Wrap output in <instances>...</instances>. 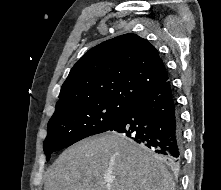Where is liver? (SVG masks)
<instances>
[{
	"mask_svg": "<svg viewBox=\"0 0 221 190\" xmlns=\"http://www.w3.org/2000/svg\"><path fill=\"white\" fill-rule=\"evenodd\" d=\"M44 190H175V185L168 170L143 147L106 133L63 151L45 174Z\"/></svg>",
	"mask_w": 221,
	"mask_h": 190,
	"instance_id": "liver-1",
	"label": "liver"
}]
</instances>
